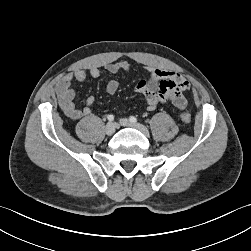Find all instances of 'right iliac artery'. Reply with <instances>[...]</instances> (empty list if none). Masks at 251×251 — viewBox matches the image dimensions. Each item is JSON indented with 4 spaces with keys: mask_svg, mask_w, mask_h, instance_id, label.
<instances>
[{
    "mask_svg": "<svg viewBox=\"0 0 251 251\" xmlns=\"http://www.w3.org/2000/svg\"><path fill=\"white\" fill-rule=\"evenodd\" d=\"M107 119L109 120V121H113L114 120V116L111 114V115H108L107 116Z\"/></svg>",
    "mask_w": 251,
    "mask_h": 251,
    "instance_id": "right-iliac-artery-1",
    "label": "right iliac artery"
}]
</instances>
